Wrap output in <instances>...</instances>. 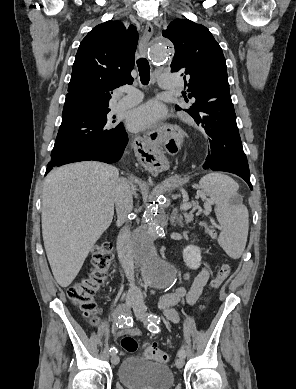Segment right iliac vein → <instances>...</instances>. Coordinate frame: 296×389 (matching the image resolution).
<instances>
[{"instance_id": "63e3f726", "label": "right iliac vein", "mask_w": 296, "mask_h": 389, "mask_svg": "<svg viewBox=\"0 0 296 389\" xmlns=\"http://www.w3.org/2000/svg\"><path fill=\"white\" fill-rule=\"evenodd\" d=\"M135 302H136V298L132 294H127V296H126L127 309H129V307L133 306L135 304ZM111 362H112V364L117 365L119 363V357L117 355H113L111 358Z\"/></svg>"}]
</instances>
